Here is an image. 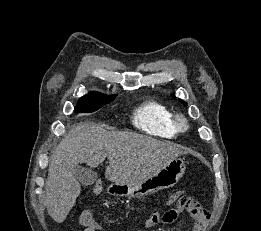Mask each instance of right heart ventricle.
<instances>
[{
	"label": "right heart ventricle",
	"mask_w": 261,
	"mask_h": 231,
	"mask_svg": "<svg viewBox=\"0 0 261 231\" xmlns=\"http://www.w3.org/2000/svg\"><path fill=\"white\" fill-rule=\"evenodd\" d=\"M173 117L172 111L166 105L149 100L133 111L132 123L137 129L149 135L170 139L178 133Z\"/></svg>",
	"instance_id": "e07e8e85"
}]
</instances>
